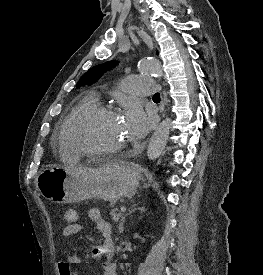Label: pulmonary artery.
<instances>
[{
	"mask_svg": "<svg viewBox=\"0 0 263 275\" xmlns=\"http://www.w3.org/2000/svg\"><path fill=\"white\" fill-rule=\"evenodd\" d=\"M123 90L132 95L149 96L155 91V83L148 77L131 76L125 80Z\"/></svg>",
	"mask_w": 263,
	"mask_h": 275,
	"instance_id": "pulmonary-artery-1",
	"label": "pulmonary artery"
}]
</instances>
